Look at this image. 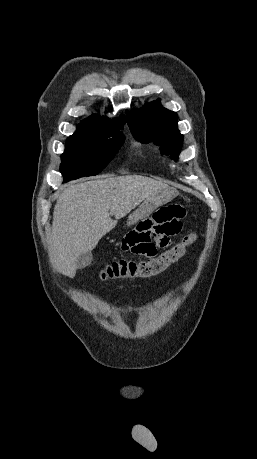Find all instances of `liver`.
Returning a JSON list of instances; mask_svg holds the SVG:
<instances>
[{
	"instance_id": "obj_1",
	"label": "liver",
	"mask_w": 257,
	"mask_h": 459,
	"mask_svg": "<svg viewBox=\"0 0 257 459\" xmlns=\"http://www.w3.org/2000/svg\"><path fill=\"white\" fill-rule=\"evenodd\" d=\"M166 188L167 184L152 178L128 175L92 180L64 190L53 212L50 234L53 267L73 278L79 255L91 252L118 219Z\"/></svg>"
}]
</instances>
